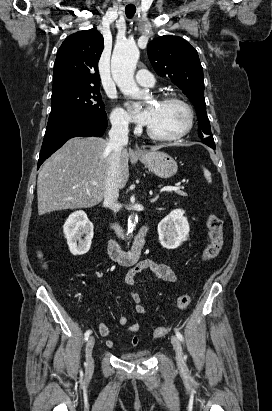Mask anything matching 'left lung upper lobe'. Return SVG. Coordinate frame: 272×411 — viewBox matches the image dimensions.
<instances>
[{
    "instance_id": "left-lung-upper-lobe-1",
    "label": "left lung upper lobe",
    "mask_w": 272,
    "mask_h": 411,
    "mask_svg": "<svg viewBox=\"0 0 272 411\" xmlns=\"http://www.w3.org/2000/svg\"><path fill=\"white\" fill-rule=\"evenodd\" d=\"M147 51L157 74L170 78L194 105L199 137L211 135L204 98L203 69L197 51L183 38L171 35L151 41Z\"/></svg>"
}]
</instances>
